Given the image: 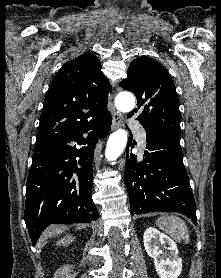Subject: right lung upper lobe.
Listing matches in <instances>:
<instances>
[{"instance_id": "1", "label": "right lung upper lobe", "mask_w": 221, "mask_h": 278, "mask_svg": "<svg viewBox=\"0 0 221 278\" xmlns=\"http://www.w3.org/2000/svg\"><path fill=\"white\" fill-rule=\"evenodd\" d=\"M111 90L99 59L92 53L65 63L46 95L35 149L82 124L110 115L107 96Z\"/></svg>"}]
</instances>
